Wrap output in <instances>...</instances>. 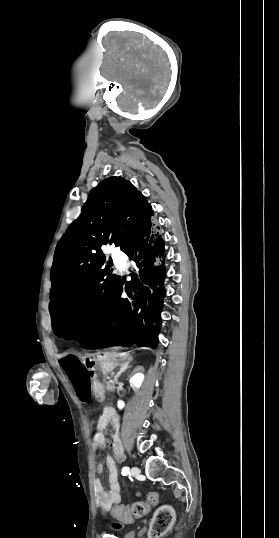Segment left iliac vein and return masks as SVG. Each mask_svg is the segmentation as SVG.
Returning <instances> with one entry per match:
<instances>
[{
	"label": "left iliac vein",
	"mask_w": 279,
	"mask_h": 538,
	"mask_svg": "<svg viewBox=\"0 0 279 538\" xmlns=\"http://www.w3.org/2000/svg\"><path fill=\"white\" fill-rule=\"evenodd\" d=\"M139 474H140L139 468L136 467V466H133L131 468V475L134 476V477H137V476H139Z\"/></svg>",
	"instance_id": "obj_1"
}]
</instances>
